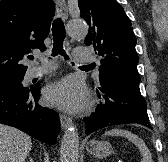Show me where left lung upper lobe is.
Returning a JSON list of instances; mask_svg holds the SVG:
<instances>
[{
  "mask_svg": "<svg viewBox=\"0 0 168 162\" xmlns=\"http://www.w3.org/2000/svg\"><path fill=\"white\" fill-rule=\"evenodd\" d=\"M78 4L90 28L84 43L102 56L98 85L107 78L139 84L136 36L123 7L116 0H78Z\"/></svg>",
  "mask_w": 168,
  "mask_h": 162,
  "instance_id": "left-lung-upper-lobe-1",
  "label": "left lung upper lobe"
}]
</instances>
